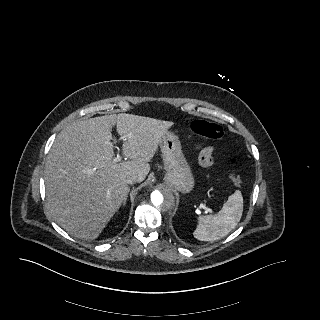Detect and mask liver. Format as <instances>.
Segmentation results:
<instances>
[{
    "label": "liver",
    "mask_w": 320,
    "mask_h": 320,
    "mask_svg": "<svg viewBox=\"0 0 320 320\" xmlns=\"http://www.w3.org/2000/svg\"><path fill=\"white\" fill-rule=\"evenodd\" d=\"M173 124L121 113L67 125L57 136L44 171L47 208L57 224L74 237L96 239L127 197V178L145 179L163 134ZM114 125L128 161L113 162Z\"/></svg>",
    "instance_id": "liver-1"
}]
</instances>
